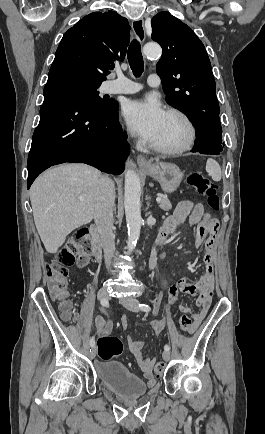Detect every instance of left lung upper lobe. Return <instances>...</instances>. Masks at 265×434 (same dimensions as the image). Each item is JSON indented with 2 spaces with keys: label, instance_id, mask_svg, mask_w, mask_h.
I'll list each match as a JSON object with an SVG mask.
<instances>
[{
  "label": "left lung upper lobe",
  "instance_id": "left-lung-upper-lobe-1",
  "mask_svg": "<svg viewBox=\"0 0 265 434\" xmlns=\"http://www.w3.org/2000/svg\"><path fill=\"white\" fill-rule=\"evenodd\" d=\"M151 25L152 39L163 50L156 69L167 103L187 115L197 136L222 142L216 84L203 43L169 12L155 15Z\"/></svg>",
  "mask_w": 265,
  "mask_h": 434
}]
</instances>
